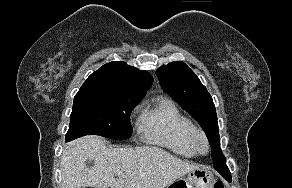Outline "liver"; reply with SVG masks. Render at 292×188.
<instances>
[{
    "label": "liver",
    "instance_id": "obj_1",
    "mask_svg": "<svg viewBox=\"0 0 292 188\" xmlns=\"http://www.w3.org/2000/svg\"><path fill=\"white\" fill-rule=\"evenodd\" d=\"M197 168L158 147L107 148L103 138L85 136L63 151L61 188H165Z\"/></svg>",
    "mask_w": 292,
    "mask_h": 188
}]
</instances>
